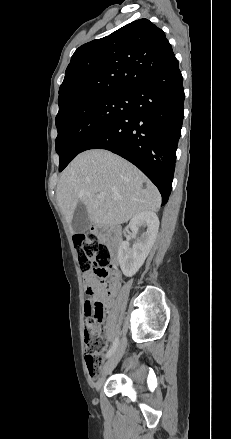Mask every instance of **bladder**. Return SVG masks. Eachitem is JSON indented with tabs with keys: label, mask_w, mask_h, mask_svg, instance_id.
Instances as JSON below:
<instances>
[{
	"label": "bladder",
	"mask_w": 231,
	"mask_h": 439,
	"mask_svg": "<svg viewBox=\"0 0 231 439\" xmlns=\"http://www.w3.org/2000/svg\"><path fill=\"white\" fill-rule=\"evenodd\" d=\"M137 368H138V364L136 360H131L127 365V370L129 373L136 372Z\"/></svg>",
	"instance_id": "bladder-1"
}]
</instances>
